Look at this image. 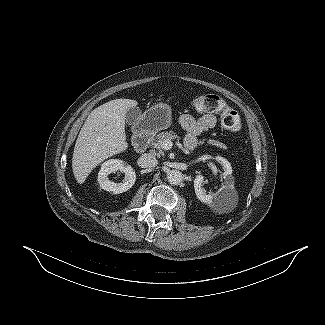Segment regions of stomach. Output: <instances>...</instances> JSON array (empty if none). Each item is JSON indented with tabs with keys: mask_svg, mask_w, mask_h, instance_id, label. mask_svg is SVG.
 Here are the masks:
<instances>
[{
	"mask_svg": "<svg viewBox=\"0 0 325 325\" xmlns=\"http://www.w3.org/2000/svg\"><path fill=\"white\" fill-rule=\"evenodd\" d=\"M142 128L158 132L171 125V108L165 103H158L150 107L140 118Z\"/></svg>",
	"mask_w": 325,
	"mask_h": 325,
	"instance_id": "obj_1",
	"label": "stomach"
}]
</instances>
